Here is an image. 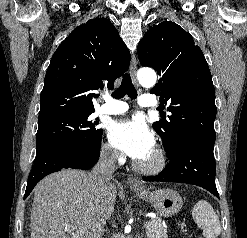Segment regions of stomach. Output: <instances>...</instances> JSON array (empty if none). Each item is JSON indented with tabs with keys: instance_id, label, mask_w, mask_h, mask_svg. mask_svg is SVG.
Returning a JSON list of instances; mask_svg holds the SVG:
<instances>
[{
	"instance_id": "1",
	"label": "stomach",
	"mask_w": 247,
	"mask_h": 238,
	"mask_svg": "<svg viewBox=\"0 0 247 238\" xmlns=\"http://www.w3.org/2000/svg\"><path fill=\"white\" fill-rule=\"evenodd\" d=\"M136 193L141 199L151 203L162 217H172L182 207L180 194L171 189H158L153 192L137 189Z\"/></svg>"
}]
</instances>
